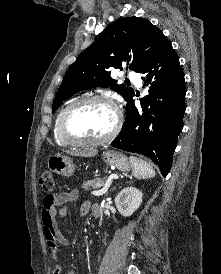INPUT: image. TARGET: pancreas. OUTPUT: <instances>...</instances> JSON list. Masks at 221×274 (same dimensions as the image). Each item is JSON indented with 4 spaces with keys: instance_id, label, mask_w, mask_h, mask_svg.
Segmentation results:
<instances>
[{
    "instance_id": "pancreas-1",
    "label": "pancreas",
    "mask_w": 221,
    "mask_h": 274,
    "mask_svg": "<svg viewBox=\"0 0 221 274\" xmlns=\"http://www.w3.org/2000/svg\"><path fill=\"white\" fill-rule=\"evenodd\" d=\"M106 179L107 177L88 180L83 183L82 188L86 191H89L91 189L95 190V189L101 188L105 185Z\"/></svg>"
}]
</instances>
